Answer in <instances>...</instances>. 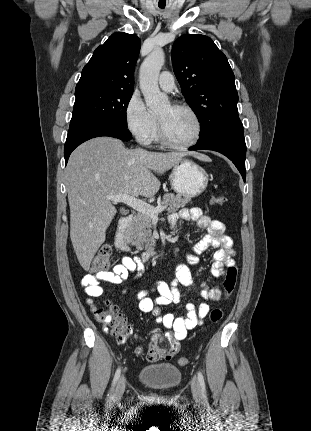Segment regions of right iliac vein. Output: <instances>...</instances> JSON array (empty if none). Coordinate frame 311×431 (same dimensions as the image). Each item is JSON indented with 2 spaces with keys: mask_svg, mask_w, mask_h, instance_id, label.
<instances>
[{
  "mask_svg": "<svg viewBox=\"0 0 311 431\" xmlns=\"http://www.w3.org/2000/svg\"><path fill=\"white\" fill-rule=\"evenodd\" d=\"M125 382H126L125 377L121 376V378L119 379V381L117 383L116 390H115V393H114V399L116 401L120 400L121 397H122V395H123V393H124Z\"/></svg>",
  "mask_w": 311,
  "mask_h": 431,
  "instance_id": "63e3f726",
  "label": "right iliac vein"
}]
</instances>
